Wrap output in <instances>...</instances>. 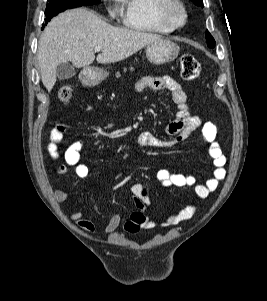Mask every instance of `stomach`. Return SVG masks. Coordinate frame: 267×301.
I'll return each instance as SVG.
<instances>
[{
	"mask_svg": "<svg viewBox=\"0 0 267 301\" xmlns=\"http://www.w3.org/2000/svg\"><path fill=\"white\" fill-rule=\"evenodd\" d=\"M179 46L167 39H160L154 43L147 45V59L156 65L171 62L178 57ZM87 81L91 84H98L107 78L108 72L99 68H88Z\"/></svg>",
	"mask_w": 267,
	"mask_h": 301,
	"instance_id": "0dacf381",
	"label": "stomach"
}]
</instances>
